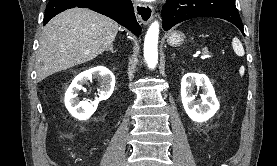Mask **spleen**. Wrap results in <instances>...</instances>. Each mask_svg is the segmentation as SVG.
Returning a JSON list of instances; mask_svg holds the SVG:
<instances>
[{
	"label": "spleen",
	"mask_w": 277,
	"mask_h": 166,
	"mask_svg": "<svg viewBox=\"0 0 277 166\" xmlns=\"http://www.w3.org/2000/svg\"><path fill=\"white\" fill-rule=\"evenodd\" d=\"M232 47L235 51V53L238 55V56H243L244 55V49H243V46H242V43L240 42V40L238 38H233L232 40Z\"/></svg>",
	"instance_id": "1"
}]
</instances>
